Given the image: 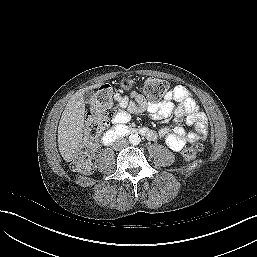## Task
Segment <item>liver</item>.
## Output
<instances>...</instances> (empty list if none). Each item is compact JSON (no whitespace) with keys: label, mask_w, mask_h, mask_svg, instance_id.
Listing matches in <instances>:
<instances>
[{"label":"liver","mask_w":257,"mask_h":257,"mask_svg":"<svg viewBox=\"0 0 257 257\" xmlns=\"http://www.w3.org/2000/svg\"><path fill=\"white\" fill-rule=\"evenodd\" d=\"M102 83L77 91L68 101L58 126L59 152L66 162L73 160L83 137L85 102L83 94Z\"/></svg>","instance_id":"liver-1"}]
</instances>
